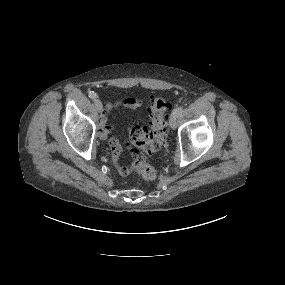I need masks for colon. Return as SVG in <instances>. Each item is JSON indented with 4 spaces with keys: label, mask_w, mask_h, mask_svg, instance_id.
<instances>
[{
    "label": "colon",
    "mask_w": 285,
    "mask_h": 285,
    "mask_svg": "<svg viewBox=\"0 0 285 285\" xmlns=\"http://www.w3.org/2000/svg\"><path fill=\"white\" fill-rule=\"evenodd\" d=\"M170 108L171 104L166 99L153 98L149 108L148 127L133 126L129 129V140L135 147L133 168L144 180H154L157 175L156 169L145 162L144 155H155L165 146Z\"/></svg>",
    "instance_id": "5ec220e1"
}]
</instances>
